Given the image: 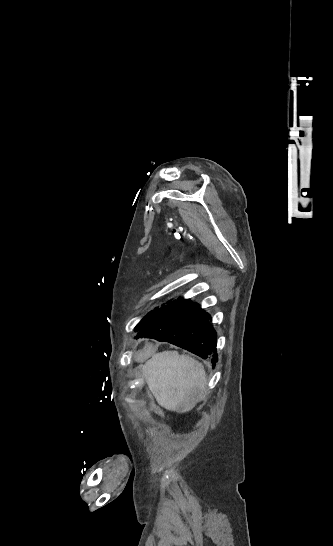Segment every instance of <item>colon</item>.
I'll return each instance as SVG.
<instances>
[{
    "instance_id": "1",
    "label": "colon",
    "mask_w": 333,
    "mask_h": 546,
    "mask_svg": "<svg viewBox=\"0 0 333 546\" xmlns=\"http://www.w3.org/2000/svg\"><path fill=\"white\" fill-rule=\"evenodd\" d=\"M133 371L136 373L138 370L135 368ZM142 392L145 394L147 391L144 389Z\"/></svg>"
}]
</instances>
